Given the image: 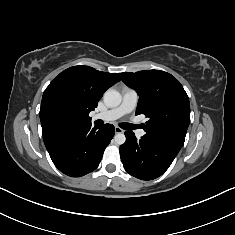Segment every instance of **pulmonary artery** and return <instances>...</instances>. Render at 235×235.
Instances as JSON below:
<instances>
[{
	"instance_id": "e3ab8cb5",
	"label": "pulmonary artery",
	"mask_w": 235,
	"mask_h": 235,
	"mask_svg": "<svg viewBox=\"0 0 235 235\" xmlns=\"http://www.w3.org/2000/svg\"><path fill=\"white\" fill-rule=\"evenodd\" d=\"M137 100H138V95L136 91L130 88H125L123 90L122 102L118 107L102 112V113H97L93 116V119L95 120L100 119L103 121L116 120L122 117L123 115L132 112L134 108L136 107ZM144 134H145V131L143 129H138L136 131V135L139 138L144 136Z\"/></svg>"
}]
</instances>
